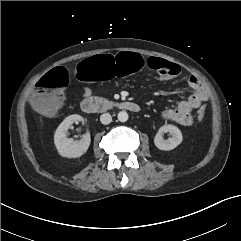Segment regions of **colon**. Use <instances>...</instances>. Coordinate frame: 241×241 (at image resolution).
Segmentation results:
<instances>
[{"mask_svg": "<svg viewBox=\"0 0 241 241\" xmlns=\"http://www.w3.org/2000/svg\"><path fill=\"white\" fill-rule=\"evenodd\" d=\"M145 64L157 71L162 81L174 79L181 74L180 67L166 59L151 57L145 62L134 51H111L79 60L75 66V75L83 83H94L134 74ZM67 84L68 75L62 67L44 75L36 84L31 98L32 106L41 113L54 115L62 104L63 91ZM205 112V107L199 109V120L204 119Z\"/></svg>", "mask_w": 241, "mask_h": 241, "instance_id": "obj_1", "label": "colon"}]
</instances>
